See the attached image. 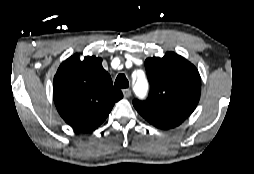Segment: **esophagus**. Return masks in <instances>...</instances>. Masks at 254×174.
<instances>
[{"mask_svg":"<svg viewBox=\"0 0 254 174\" xmlns=\"http://www.w3.org/2000/svg\"><path fill=\"white\" fill-rule=\"evenodd\" d=\"M123 95L125 98H129L131 96V90L130 89H123Z\"/></svg>","mask_w":254,"mask_h":174,"instance_id":"34e87169","label":"esophagus"}]
</instances>
